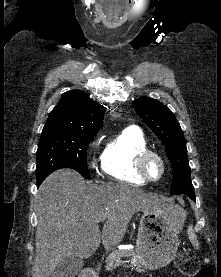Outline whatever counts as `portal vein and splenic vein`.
Segmentation results:
<instances>
[{
  "mask_svg": "<svg viewBox=\"0 0 221 277\" xmlns=\"http://www.w3.org/2000/svg\"><path fill=\"white\" fill-rule=\"evenodd\" d=\"M104 221H105V218H101V219L98 221V223L104 222Z\"/></svg>",
  "mask_w": 221,
  "mask_h": 277,
  "instance_id": "1",
  "label": "portal vein and splenic vein"
}]
</instances>
